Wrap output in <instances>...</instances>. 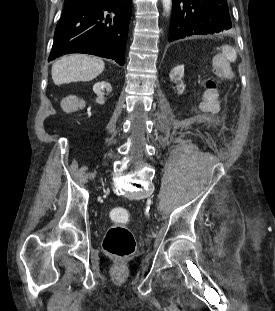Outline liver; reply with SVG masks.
<instances>
[{
	"label": "liver",
	"mask_w": 275,
	"mask_h": 311,
	"mask_svg": "<svg viewBox=\"0 0 275 311\" xmlns=\"http://www.w3.org/2000/svg\"><path fill=\"white\" fill-rule=\"evenodd\" d=\"M103 60L83 54H73L57 60L51 70L55 85L90 81L103 72Z\"/></svg>",
	"instance_id": "1"
}]
</instances>
